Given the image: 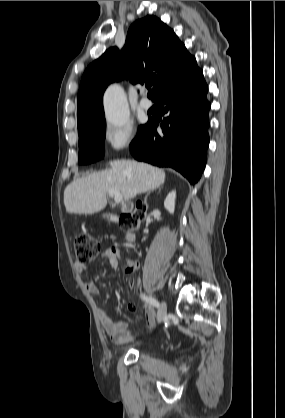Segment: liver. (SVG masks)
<instances>
[{
  "label": "liver",
  "instance_id": "6515ba94",
  "mask_svg": "<svg viewBox=\"0 0 285 418\" xmlns=\"http://www.w3.org/2000/svg\"><path fill=\"white\" fill-rule=\"evenodd\" d=\"M110 168L74 180L64 190L68 213L93 214L107 205V193L116 190L125 201L160 187L165 182L162 169L134 160H113Z\"/></svg>",
  "mask_w": 285,
  "mask_h": 418
}]
</instances>
